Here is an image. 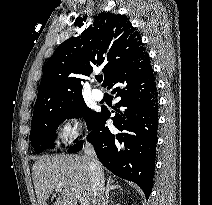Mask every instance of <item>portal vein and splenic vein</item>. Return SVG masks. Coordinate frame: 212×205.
<instances>
[{"label": "portal vein and splenic vein", "mask_w": 212, "mask_h": 205, "mask_svg": "<svg viewBox=\"0 0 212 205\" xmlns=\"http://www.w3.org/2000/svg\"><path fill=\"white\" fill-rule=\"evenodd\" d=\"M61 186H62V184H59L56 187V189L59 190L61 188ZM71 191L73 192L75 197L80 200L81 205H89L90 204V202L87 199H84L81 197V194L77 190H75L74 188H71Z\"/></svg>", "instance_id": "18ae733b"}]
</instances>
